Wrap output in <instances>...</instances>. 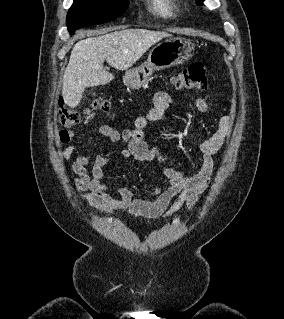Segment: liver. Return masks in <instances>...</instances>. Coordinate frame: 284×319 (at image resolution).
<instances>
[{
	"label": "liver",
	"instance_id": "1",
	"mask_svg": "<svg viewBox=\"0 0 284 319\" xmlns=\"http://www.w3.org/2000/svg\"><path fill=\"white\" fill-rule=\"evenodd\" d=\"M109 31V30H107ZM171 34L146 29H123L77 42L63 76L64 103L75 108L87 87L105 85L114 79L106 61L117 70H127L155 43Z\"/></svg>",
	"mask_w": 284,
	"mask_h": 319
}]
</instances>
